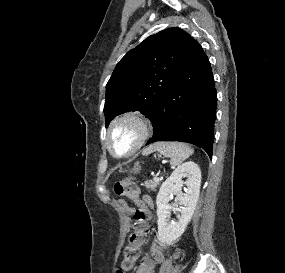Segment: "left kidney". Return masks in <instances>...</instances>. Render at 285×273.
<instances>
[{
	"instance_id": "5707ae66",
	"label": "left kidney",
	"mask_w": 285,
	"mask_h": 273,
	"mask_svg": "<svg viewBox=\"0 0 285 273\" xmlns=\"http://www.w3.org/2000/svg\"><path fill=\"white\" fill-rule=\"evenodd\" d=\"M187 177L184 182L182 178ZM185 184L187 191L182 196L181 188ZM201 186V171L194 162H185L178 166L171 176L162 184L157 195L158 233L161 242L171 244L184 233L194 213ZM176 195L174 204H169L171 196ZM177 204L181 205V216L176 222H169L171 211Z\"/></svg>"
}]
</instances>
